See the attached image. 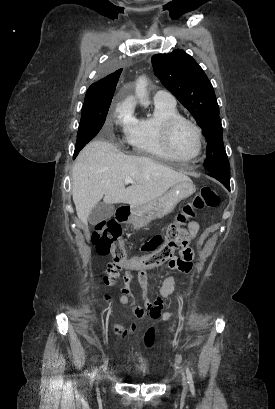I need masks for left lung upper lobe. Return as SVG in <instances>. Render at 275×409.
Segmentation results:
<instances>
[{"label":"left lung upper lobe","mask_w":275,"mask_h":409,"mask_svg":"<svg viewBox=\"0 0 275 409\" xmlns=\"http://www.w3.org/2000/svg\"><path fill=\"white\" fill-rule=\"evenodd\" d=\"M155 75L188 109L202 129L206 140L207 172L230 177V165L223 144L219 106L213 87L202 68L183 50L152 57Z\"/></svg>","instance_id":"obj_1"}]
</instances>
